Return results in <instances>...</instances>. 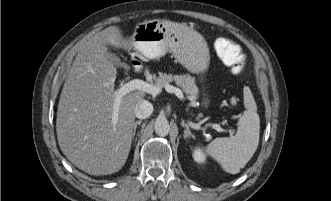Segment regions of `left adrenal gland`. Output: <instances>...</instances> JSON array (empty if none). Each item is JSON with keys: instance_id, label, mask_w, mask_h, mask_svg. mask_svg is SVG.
Segmentation results:
<instances>
[{"instance_id": "left-adrenal-gland-1", "label": "left adrenal gland", "mask_w": 331, "mask_h": 201, "mask_svg": "<svg viewBox=\"0 0 331 201\" xmlns=\"http://www.w3.org/2000/svg\"><path fill=\"white\" fill-rule=\"evenodd\" d=\"M181 125L185 128L184 130V138L187 139V138H193L195 139V136L191 133L190 129H189V126L185 123L184 120H182L181 122Z\"/></svg>"}]
</instances>
